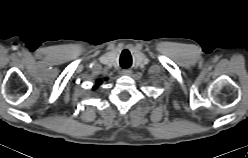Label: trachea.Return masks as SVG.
<instances>
[{"label":"trachea","instance_id":"3493384b","mask_svg":"<svg viewBox=\"0 0 248 158\" xmlns=\"http://www.w3.org/2000/svg\"><path fill=\"white\" fill-rule=\"evenodd\" d=\"M120 65L122 68H128L131 65V59L130 58H121L120 60Z\"/></svg>","mask_w":248,"mask_h":158}]
</instances>
